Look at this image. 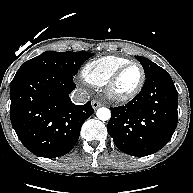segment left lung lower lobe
I'll return each mask as SVG.
<instances>
[{
    "mask_svg": "<svg viewBox=\"0 0 193 193\" xmlns=\"http://www.w3.org/2000/svg\"><path fill=\"white\" fill-rule=\"evenodd\" d=\"M178 93L161 67L146 77L140 93L121 107L111 108L109 135L122 152L147 156L171 139L178 119Z\"/></svg>",
    "mask_w": 193,
    "mask_h": 193,
    "instance_id": "0a47b994",
    "label": "left lung lower lobe"
}]
</instances>
